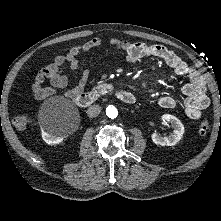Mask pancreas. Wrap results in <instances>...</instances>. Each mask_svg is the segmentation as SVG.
<instances>
[{"mask_svg": "<svg viewBox=\"0 0 221 221\" xmlns=\"http://www.w3.org/2000/svg\"><path fill=\"white\" fill-rule=\"evenodd\" d=\"M109 89H110V87L107 84H100V85L95 86L93 88V90L95 92H100V93H107Z\"/></svg>", "mask_w": 221, "mask_h": 221, "instance_id": "cf45deb5", "label": "pancreas"}]
</instances>
